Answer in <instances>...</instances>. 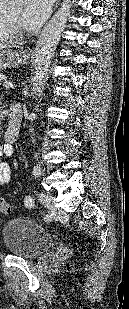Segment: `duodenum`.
I'll list each match as a JSON object with an SVG mask.
<instances>
[{"mask_svg": "<svg viewBox=\"0 0 129 309\" xmlns=\"http://www.w3.org/2000/svg\"><path fill=\"white\" fill-rule=\"evenodd\" d=\"M20 126L19 115L11 113L8 119V127L6 131V141L11 144L15 141Z\"/></svg>", "mask_w": 129, "mask_h": 309, "instance_id": "410a0bca", "label": "duodenum"}]
</instances>
